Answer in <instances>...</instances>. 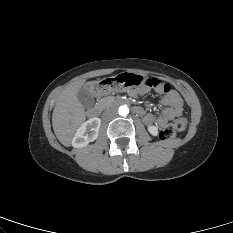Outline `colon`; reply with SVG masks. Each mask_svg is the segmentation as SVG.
Masks as SVG:
<instances>
[{
  "label": "colon",
  "instance_id": "colon-1",
  "mask_svg": "<svg viewBox=\"0 0 233 233\" xmlns=\"http://www.w3.org/2000/svg\"><path fill=\"white\" fill-rule=\"evenodd\" d=\"M145 85L149 88L160 89L163 92H167L170 89V86L167 83L156 78H148ZM187 125L188 121L186 118H177L162 130L161 138L171 139L176 133L183 132L187 128Z\"/></svg>",
  "mask_w": 233,
  "mask_h": 233
}]
</instances>
